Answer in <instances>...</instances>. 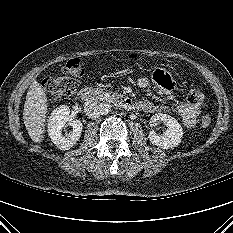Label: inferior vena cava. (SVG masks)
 I'll return each mask as SVG.
<instances>
[{
    "mask_svg": "<svg viewBox=\"0 0 233 233\" xmlns=\"http://www.w3.org/2000/svg\"><path fill=\"white\" fill-rule=\"evenodd\" d=\"M103 104L99 101L89 100L84 104V111L90 118H98L102 114Z\"/></svg>",
    "mask_w": 233,
    "mask_h": 233,
    "instance_id": "inferior-vena-cava-1",
    "label": "inferior vena cava"
}]
</instances>
